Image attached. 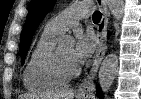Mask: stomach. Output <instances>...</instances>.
<instances>
[{
    "instance_id": "stomach-1",
    "label": "stomach",
    "mask_w": 141,
    "mask_h": 99,
    "mask_svg": "<svg viewBox=\"0 0 141 99\" xmlns=\"http://www.w3.org/2000/svg\"><path fill=\"white\" fill-rule=\"evenodd\" d=\"M77 99H87V97H77Z\"/></svg>"
}]
</instances>
